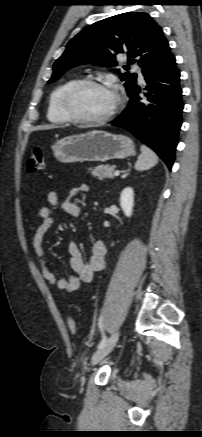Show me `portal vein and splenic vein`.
Instances as JSON below:
<instances>
[{
    "label": "portal vein and splenic vein",
    "mask_w": 202,
    "mask_h": 437,
    "mask_svg": "<svg viewBox=\"0 0 202 437\" xmlns=\"http://www.w3.org/2000/svg\"><path fill=\"white\" fill-rule=\"evenodd\" d=\"M119 174H120V171H119V170H116V171L114 172V176H119Z\"/></svg>",
    "instance_id": "portal-vein-and-splenic-vein-1"
}]
</instances>
